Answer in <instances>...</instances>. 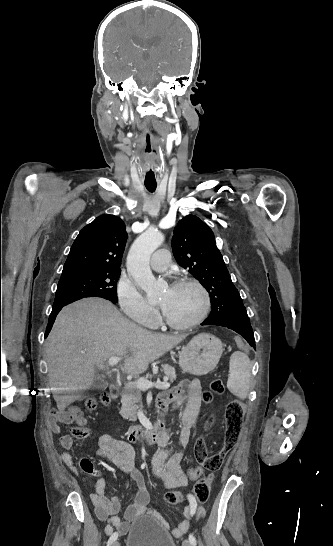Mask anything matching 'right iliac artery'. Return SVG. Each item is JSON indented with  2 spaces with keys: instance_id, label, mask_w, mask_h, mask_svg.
Segmentation results:
<instances>
[{
  "instance_id": "1",
  "label": "right iliac artery",
  "mask_w": 333,
  "mask_h": 546,
  "mask_svg": "<svg viewBox=\"0 0 333 546\" xmlns=\"http://www.w3.org/2000/svg\"><path fill=\"white\" fill-rule=\"evenodd\" d=\"M117 538H118V533H117V532H114V533L110 536V538H109V540H108V542H107V546H111V544H112L114 541H116Z\"/></svg>"
}]
</instances>
